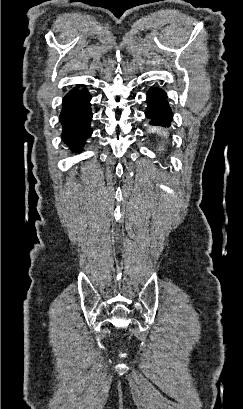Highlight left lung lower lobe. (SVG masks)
Masks as SVG:
<instances>
[{"mask_svg":"<svg viewBox=\"0 0 243 409\" xmlns=\"http://www.w3.org/2000/svg\"><path fill=\"white\" fill-rule=\"evenodd\" d=\"M148 107L146 108V118L150 119L151 125H162L169 127L172 121V110L169 107L166 93L158 88L153 87L147 95Z\"/></svg>","mask_w":243,"mask_h":409,"instance_id":"left-lung-lower-lobe-1","label":"left lung lower lobe"}]
</instances>
